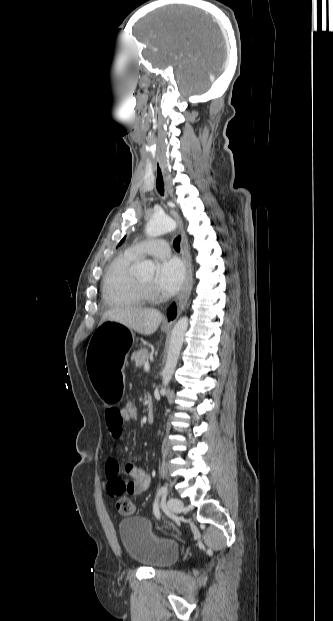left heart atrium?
<instances>
[{
    "label": "left heart atrium",
    "instance_id": "39dd6f15",
    "mask_svg": "<svg viewBox=\"0 0 333 621\" xmlns=\"http://www.w3.org/2000/svg\"><path fill=\"white\" fill-rule=\"evenodd\" d=\"M185 269L183 264L175 258L162 261L157 268L154 285L164 293H175L184 284Z\"/></svg>",
    "mask_w": 333,
    "mask_h": 621
}]
</instances>
